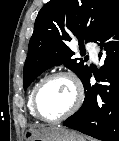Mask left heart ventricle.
<instances>
[{
  "label": "left heart ventricle",
  "instance_id": "left-heart-ventricle-1",
  "mask_svg": "<svg viewBox=\"0 0 119 141\" xmlns=\"http://www.w3.org/2000/svg\"><path fill=\"white\" fill-rule=\"evenodd\" d=\"M74 100V89L66 78H55L41 89L38 96V110L48 119L65 113Z\"/></svg>",
  "mask_w": 119,
  "mask_h": 141
}]
</instances>
